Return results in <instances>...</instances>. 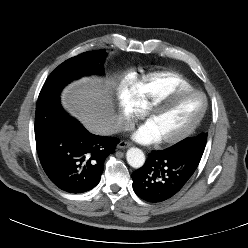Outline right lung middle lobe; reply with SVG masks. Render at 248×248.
<instances>
[{
  "label": "right lung middle lobe",
  "mask_w": 248,
  "mask_h": 248,
  "mask_svg": "<svg viewBox=\"0 0 248 248\" xmlns=\"http://www.w3.org/2000/svg\"><path fill=\"white\" fill-rule=\"evenodd\" d=\"M103 50L89 51L60 64L46 79L39 98L58 96L70 81L92 73L103 74Z\"/></svg>",
  "instance_id": "dd1d6c3e"
}]
</instances>
